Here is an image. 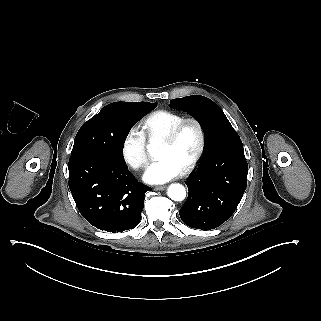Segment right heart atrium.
Here are the masks:
<instances>
[{
	"label": "right heart atrium",
	"instance_id": "right-heart-atrium-1",
	"mask_svg": "<svg viewBox=\"0 0 321 321\" xmlns=\"http://www.w3.org/2000/svg\"><path fill=\"white\" fill-rule=\"evenodd\" d=\"M145 133L138 126H132L127 130L121 142V155L126 164L135 170L145 166Z\"/></svg>",
	"mask_w": 321,
	"mask_h": 321
}]
</instances>
